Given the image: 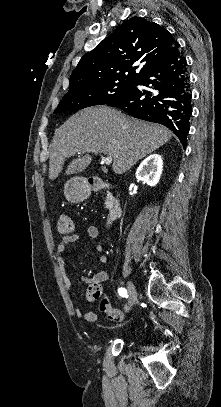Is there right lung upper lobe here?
Instances as JSON below:
<instances>
[{"label":"right lung upper lobe","instance_id":"right-lung-upper-lobe-1","mask_svg":"<svg viewBox=\"0 0 221 407\" xmlns=\"http://www.w3.org/2000/svg\"><path fill=\"white\" fill-rule=\"evenodd\" d=\"M178 46L172 34L157 23L133 17L84 54L71 74L68 92L100 83L135 82Z\"/></svg>","mask_w":221,"mask_h":407}]
</instances>
